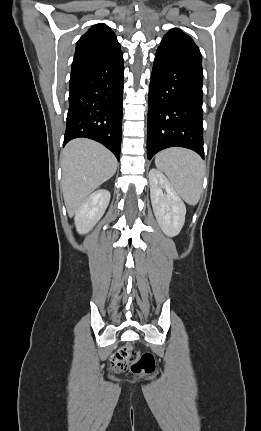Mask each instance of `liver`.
Wrapping results in <instances>:
<instances>
[{
    "mask_svg": "<svg viewBox=\"0 0 261 431\" xmlns=\"http://www.w3.org/2000/svg\"><path fill=\"white\" fill-rule=\"evenodd\" d=\"M62 191L69 216L116 172L117 160L103 145L86 138L70 141L62 153Z\"/></svg>",
    "mask_w": 261,
    "mask_h": 431,
    "instance_id": "6515ba94",
    "label": "liver"
}]
</instances>
